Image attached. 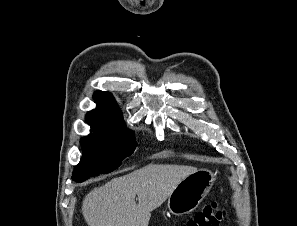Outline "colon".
Segmentation results:
<instances>
[{"label":"colon","instance_id":"1","mask_svg":"<svg viewBox=\"0 0 297 226\" xmlns=\"http://www.w3.org/2000/svg\"><path fill=\"white\" fill-rule=\"evenodd\" d=\"M225 215L219 203L211 202L189 219L185 226H217Z\"/></svg>","mask_w":297,"mask_h":226}]
</instances>
